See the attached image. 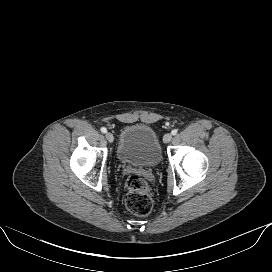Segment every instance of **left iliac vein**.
Instances as JSON below:
<instances>
[{"label": "left iliac vein", "instance_id": "obj_1", "mask_svg": "<svg viewBox=\"0 0 272 272\" xmlns=\"http://www.w3.org/2000/svg\"><path fill=\"white\" fill-rule=\"evenodd\" d=\"M171 139H172V134H170V133L165 134L163 137V141L165 143H169L171 141Z\"/></svg>", "mask_w": 272, "mask_h": 272}]
</instances>
